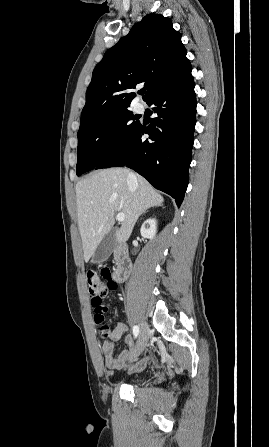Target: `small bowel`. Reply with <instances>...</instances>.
<instances>
[{
    "instance_id": "1",
    "label": "small bowel",
    "mask_w": 269,
    "mask_h": 447,
    "mask_svg": "<svg viewBox=\"0 0 269 447\" xmlns=\"http://www.w3.org/2000/svg\"><path fill=\"white\" fill-rule=\"evenodd\" d=\"M127 325L125 322L118 320L115 328L110 334L112 341H117L123 339L124 343L129 346L128 351L121 352L117 357L113 355V344L112 342H105L102 346V351L104 355V363L108 369H118L124 362H126L133 354L134 345L133 337L129 334H125L127 331ZM147 364V359H143L136 365L133 369H139Z\"/></svg>"
}]
</instances>
